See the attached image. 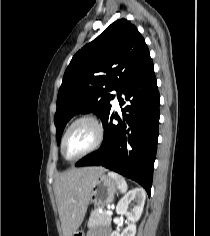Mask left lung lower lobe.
Segmentation results:
<instances>
[{
  "label": "left lung lower lobe",
  "mask_w": 210,
  "mask_h": 236,
  "mask_svg": "<svg viewBox=\"0 0 210 236\" xmlns=\"http://www.w3.org/2000/svg\"><path fill=\"white\" fill-rule=\"evenodd\" d=\"M124 94V99L121 97ZM122 109L117 114L111 110L103 121L104 140L95 152L81 159L76 166L102 165L135 180L150 196L153 165L156 156L159 102L153 62L150 60L119 91Z\"/></svg>",
  "instance_id": "0a47b994"
}]
</instances>
